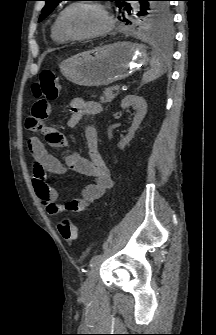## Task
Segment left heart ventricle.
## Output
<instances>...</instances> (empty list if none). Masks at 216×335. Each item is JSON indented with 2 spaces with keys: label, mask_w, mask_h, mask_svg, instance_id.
<instances>
[{
  "label": "left heart ventricle",
  "mask_w": 216,
  "mask_h": 335,
  "mask_svg": "<svg viewBox=\"0 0 216 335\" xmlns=\"http://www.w3.org/2000/svg\"><path fill=\"white\" fill-rule=\"evenodd\" d=\"M63 25L70 34L81 35L103 29L106 25V20L97 8L89 5H80L65 14Z\"/></svg>",
  "instance_id": "1"
}]
</instances>
